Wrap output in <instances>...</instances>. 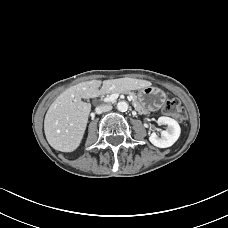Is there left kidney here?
<instances>
[{"label":"left kidney","instance_id":"obj_1","mask_svg":"<svg viewBox=\"0 0 228 228\" xmlns=\"http://www.w3.org/2000/svg\"><path fill=\"white\" fill-rule=\"evenodd\" d=\"M158 124L167 125V129L161 131L160 136L156 133H152L149 136V141L156 147L167 148L172 146L179 138L181 129L176 120L170 117H159Z\"/></svg>","mask_w":228,"mask_h":228}]
</instances>
